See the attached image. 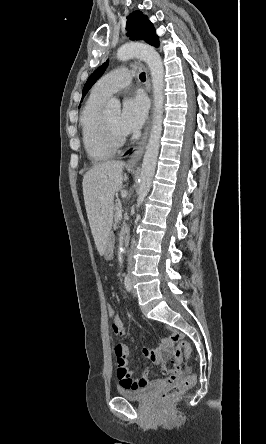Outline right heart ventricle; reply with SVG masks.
<instances>
[{"label":"right heart ventricle","instance_id":"1","mask_svg":"<svg viewBox=\"0 0 266 444\" xmlns=\"http://www.w3.org/2000/svg\"><path fill=\"white\" fill-rule=\"evenodd\" d=\"M107 98L92 91L81 113L80 126L83 146L88 157L94 161L109 159L115 152V149L109 147L100 135V119Z\"/></svg>","mask_w":266,"mask_h":444}]
</instances>
